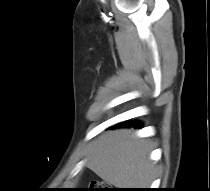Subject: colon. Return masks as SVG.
I'll return each mask as SVG.
<instances>
[{
  "label": "colon",
  "mask_w": 210,
  "mask_h": 191,
  "mask_svg": "<svg viewBox=\"0 0 210 191\" xmlns=\"http://www.w3.org/2000/svg\"><path fill=\"white\" fill-rule=\"evenodd\" d=\"M89 191H110L106 185L100 181L94 180L91 182V188Z\"/></svg>",
  "instance_id": "5ec220e1"
}]
</instances>
